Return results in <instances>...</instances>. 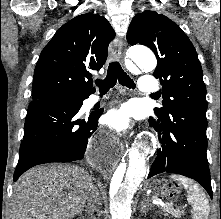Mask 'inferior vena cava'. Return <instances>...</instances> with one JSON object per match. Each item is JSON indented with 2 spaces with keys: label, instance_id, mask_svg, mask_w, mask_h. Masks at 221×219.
<instances>
[{
  "label": "inferior vena cava",
  "instance_id": "602c4592",
  "mask_svg": "<svg viewBox=\"0 0 221 219\" xmlns=\"http://www.w3.org/2000/svg\"><path fill=\"white\" fill-rule=\"evenodd\" d=\"M101 205V198L99 195V192L94 190L91 195L88 198V212L91 213V219H96V217L93 215L95 211H99V207Z\"/></svg>",
  "mask_w": 221,
  "mask_h": 219
}]
</instances>
